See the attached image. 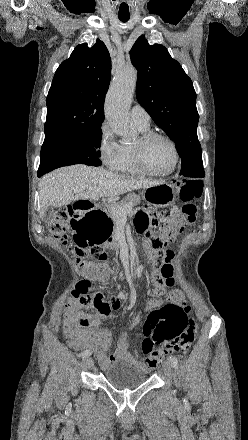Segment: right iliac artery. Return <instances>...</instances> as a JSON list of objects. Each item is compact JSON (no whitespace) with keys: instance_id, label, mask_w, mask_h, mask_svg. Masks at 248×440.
<instances>
[{"instance_id":"82829eb1","label":"right iliac artery","mask_w":248,"mask_h":440,"mask_svg":"<svg viewBox=\"0 0 248 440\" xmlns=\"http://www.w3.org/2000/svg\"><path fill=\"white\" fill-rule=\"evenodd\" d=\"M91 354H92V351L85 350V351L81 352L78 356L79 357H87V356H90Z\"/></svg>"}]
</instances>
